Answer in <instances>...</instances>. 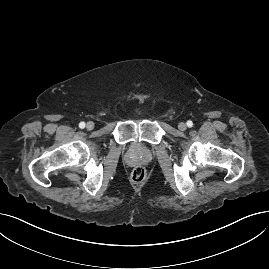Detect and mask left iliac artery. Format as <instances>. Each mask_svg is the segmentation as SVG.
I'll use <instances>...</instances> for the list:
<instances>
[{
    "label": "left iliac artery",
    "mask_w": 269,
    "mask_h": 269,
    "mask_svg": "<svg viewBox=\"0 0 269 269\" xmlns=\"http://www.w3.org/2000/svg\"><path fill=\"white\" fill-rule=\"evenodd\" d=\"M187 126H188V127H192V126H193V122H192V121H190V120H189V121H187Z\"/></svg>",
    "instance_id": "left-iliac-artery-1"
}]
</instances>
